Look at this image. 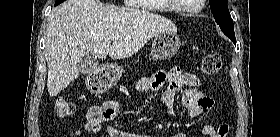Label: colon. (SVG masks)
<instances>
[{
    "label": "colon",
    "instance_id": "colon-1",
    "mask_svg": "<svg viewBox=\"0 0 280 137\" xmlns=\"http://www.w3.org/2000/svg\"><path fill=\"white\" fill-rule=\"evenodd\" d=\"M222 67V58L218 53H209L204 56L201 62V72L206 76H215L219 73ZM54 110L58 118L65 119L74 112V105L65 98H57L54 101ZM229 132V125L224 123L216 128L206 129L209 137H227Z\"/></svg>",
    "mask_w": 280,
    "mask_h": 137
}]
</instances>
